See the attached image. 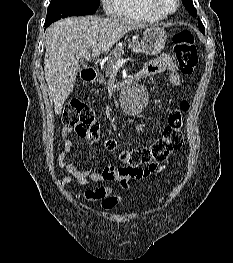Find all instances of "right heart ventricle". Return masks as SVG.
<instances>
[{
	"instance_id": "1",
	"label": "right heart ventricle",
	"mask_w": 233,
	"mask_h": 263,
	"mask_svg": "<svg viewBox=\"0 0 233 263\" xmlns=\"http://www.w3.org/2000/svg\"><path fill=\"white\" fill-rule=\"evenodd\" d=\"M114 12L121 17L154 22L164 19L152 6L151 0H115Z\"/></svg>"
}]
</instances>
